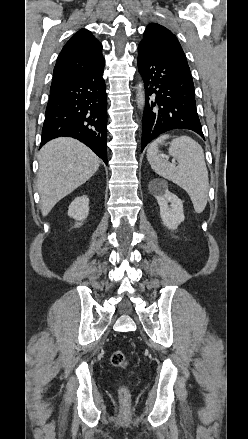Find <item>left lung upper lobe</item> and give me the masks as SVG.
Returning <instances> with one entry per match:
<instances>
[{"label": "left lung upper lobe", "instance_id": "obj_1", "mask_svg": "<svg viewBox=\"0 0 248 439\" xmlns=\"http://www.w3.org/2000/svg\"><path fill=\"white\" fill-rule=\"evenodd\" d=\"M140 44L188 65L186 56L176 36L162 25L157 23L149 24L146 27Z\"/></svg>", "mask_w": 248, "mask_h": 439}]
</instances>
